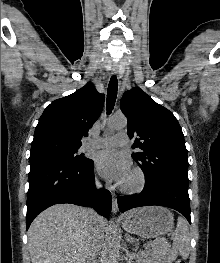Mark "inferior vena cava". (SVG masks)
Wrapping results in <instances>:
<instances>
[{"instance_id":"602c4592","label":"inferior vena cava","mask_w":220,"mask_h":263,"mask_svg":"<svg viewBox=\"0 0 220 263\" xmlns=\"http://www.w3.org/2000/svg\"><path fill=\"white\" fill-rule=\"evenodd\" d=\"M96 187L99 188L100 184L99 182H96ZM88 213L90 217L95 220L96 217L98 216L96 212L92 209H88ZM91 235H90V245H89V257L88 260L90 263H95V258L97 253L99 252L101 245L103 243V231L95 226L94 224L90 228Z\"/></svg>"}]
</instances>
